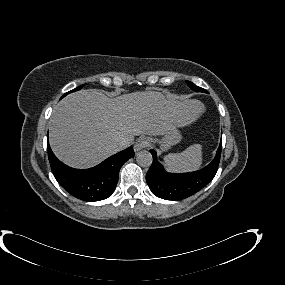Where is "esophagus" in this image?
Instances as JSON below:
<instances>
[{"mask_svg":"<svg viewBox=\"0 0 285 285\" xmlns=\"http://www.w3.org/2000/svg\"><path fill=\"white\" fill-rule=\"evenodd\" d=\"M150 145V139L147 137L139 138L134 144V150L140 151Z\"/></svg>","mask_w":285,"mask_h":285,"instance_id":"34e87169","label":"esophagus"}]
</instances>
